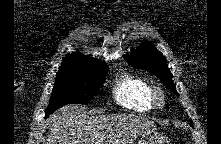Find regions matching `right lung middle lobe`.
<instances>
[{"mask_svg":"<svg viewBox=\"0 0 221 144\" xmlns=\"http://www.w3.org/2000/svg\"><path fill=\"white\" fill-rule=\"evenodd\" d=\"M107 71L106 64L60 67L45 117L66 104L89 102L102 87Z\"/></svg>","mask_w":221,"mask_h":144,"instance_id":"1","label":"right lung middle lobe"}]
</instances>
